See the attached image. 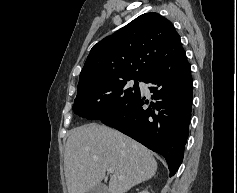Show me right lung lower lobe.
<instances>
[{
	"label": "right lung lower lobe",
	"instance_id": "98d812e1",
	"mask_svg": "<svg viewBox=\"0 0 237 193\" xmlns=\"http://www.w3.org/2000/svg\"><path fill=\"white\" fill-rule=\"evenodd\" d=\"M142 81L150 84L154 102L149 104L140 93L121 111L100 120L161 154L173 176L183 159L191 117V66L184 49L153 68Z\"/></svg>",
	"mask_w": 237,
	"mask_h": 193
}]
</instances>
